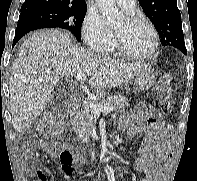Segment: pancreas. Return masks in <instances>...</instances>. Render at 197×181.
Listing matches in <instances>:
<instances>
[{"label": "pancreas", "instance_id": "cf45deb5", "mask_svg": "<svg viewBox=\"0 0 197 181\" xmlns=\"http://www.w3.org/2000/svg\"><path fill=\"white\" fill-rule=\"evenodd\" d=\"M97 99L103 97V92H96ZM97 106L112 107L113 110L125 109L128 106V100L123 95L110 96L107 99L96 100L92 102ZM94 113L89 107V103H84L82 109L78 111L71 119L72 129L76 136L84 142L90 138L91 128L94 124Z\"/></svg>", "mask_w": 197, "mask_h": 181}]
</instances>
